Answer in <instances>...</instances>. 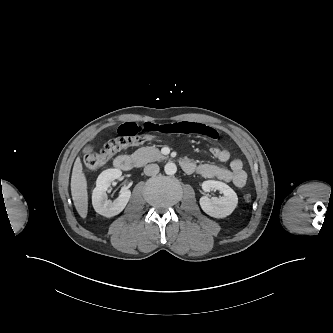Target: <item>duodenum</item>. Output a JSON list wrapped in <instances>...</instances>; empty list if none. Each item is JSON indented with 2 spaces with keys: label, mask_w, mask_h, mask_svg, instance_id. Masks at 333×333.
<instances>
[{
  "label": "duodenum",
  "mask_w": 333,
  "mask_h": 333,
  "mask_svg": "<svg viewBox=\"0 0 333 333\" xmlns=\"http://www.w3.org/2000/svg\"><path fill=\"white\" fill-rule=\"evenodd\" d=\"M138 164V160L132 156L121 155L114 160V165L116 168L128 171ZM181 167L185 172H189L192 169V163L188 160L181 161Z\"/></svg>",
  "instance_id": "duodenum-1"
}]
</instances>
